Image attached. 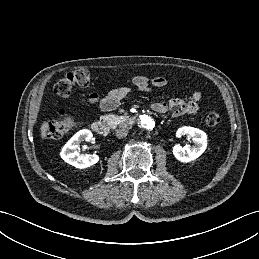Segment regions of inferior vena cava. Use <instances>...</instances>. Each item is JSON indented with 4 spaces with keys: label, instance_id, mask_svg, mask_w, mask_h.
<instances>
[{
    "label": "inferior vena cava",
    "instance_id": "obj_1",
    "mask_svg": "<svg viewBox=\"0 0 259 259\" xmlns=\"http://www.w3.org/2000/svg\"><path fill=\"white\" fill-rule=\"evenodd\" d=\"M127 134H128V130L125 128L116 130V137L119 139L126 137Z\"/></svg>",
    "mask_w": 259,
    "mask_h": 259
}]
</instances>
